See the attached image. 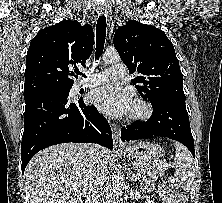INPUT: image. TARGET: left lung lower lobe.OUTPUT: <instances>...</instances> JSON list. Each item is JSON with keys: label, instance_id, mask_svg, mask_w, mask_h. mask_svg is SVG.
Returning a JSON list of instances; mask_svg holds the SVG:
<instances>
[{"label": "left lung lower lobe", "instance_id": "0a47b994", "mask_svg": "<svg viewBox=\"0 0 222 203\" xmlns=\"http://www.w3.org/2000/svg\"><path fill=\"white\" fill-rule=\"evenodd\" d=\"M153 113L146 122H135L121 129L123 142L152 136L167 137L184 144L195 156L185 98L168 96L152 104Z\"/></svg>", "mask_w": 222, "mask_h": 203}]
</instances>
